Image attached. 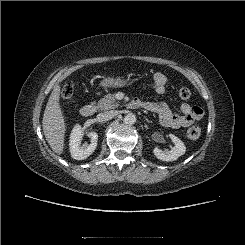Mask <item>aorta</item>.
Masks as SVG:
<instances>
[{"label":"aorta","instance_id":"1","mask_svg":"<svg viewBox=\"0 0 245 245\" xmlns=\"http://www.w3.org/2000/svg\"><path fill=\"white\" fill-rule=\"evenodd\" d=\"M124 123L127 125H132L136 122L135 114L129 113L124 117Z\"/></svg>","mask_w":245,"mask_h":245}]
</instances>
